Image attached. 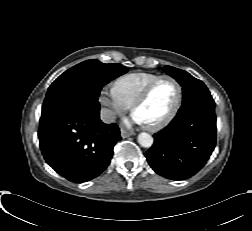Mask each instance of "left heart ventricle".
<instances>
[{"label":"left heart ventricle","mask_w":252,"mask_h":231,"mask_svg":"<svg viewBox=\"0 0 252 231\" xmlns=\"http://www.w3.org/2000/svg\"><path fill=\"white\" fill-rule=\"evenodd\" d=\"M175 100V84L169 79H164L153 88L148 99L137 108L135 114L145 125L155 124L169 114Z\"/></svg>","instance_id":"left-heart-ventricle-1"}]
</instances>
